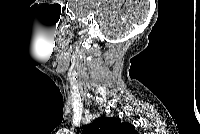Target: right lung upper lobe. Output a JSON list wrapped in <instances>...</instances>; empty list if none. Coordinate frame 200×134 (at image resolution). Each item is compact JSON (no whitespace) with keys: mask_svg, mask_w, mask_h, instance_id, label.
<instances>
[{"mask_svg":"<svg viewBox=\"0 0 200 134\" xmlns=\"http://www.w3.org/2000/svg\"><path fill=\"white\" fill-rule=\"evenodd\" d=\"M135 127L119 118L100 117L84 129V134H133Z\"/></svg>","mask_w":200,"mask_h":134,"instance_id":"cb5924a9","label":"right lung upper lobe"}]
</instances>
